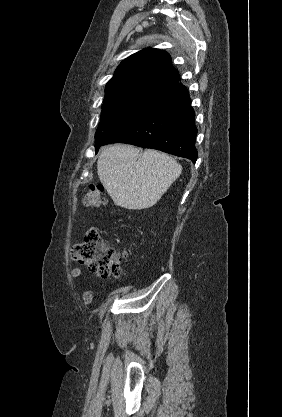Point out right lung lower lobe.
Masks as SVG:
<instances>
[{
  "mask_svg": "<svg viewBox=\"0 0 282 417\" xmlns=\"http://www.w3.org/2000/svg\"><path fill=\"white\" fill-rule=\"evenodd\" d=\"M194 115L186 87L177 83L161 92L152 103L108 136L101 145L129 143L188 158L195 163L198 155Z\"/></svg>",
  "mask_w": 282,
  "mask_h": 417,
  "instance_id": "1",
  "label": "right lung lower lobe"
}]
</instances>
